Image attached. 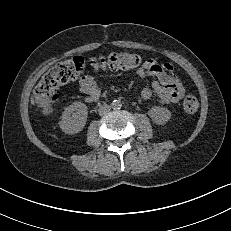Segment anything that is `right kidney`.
<instances>
[{
  "label": "right kidney",
  "mask_w": 231,
  "mask_h": 231,
  "mask_svg": "<svg viewBox=\"0 0 231 231\" xmlns=\"http://www.w3.org/2000/svg\"><path fill=\"white\" fill-rule=\"evenodd\" d=\"M87 106L81 102H74L68 106L59 122L61 130L65 134H76L82 131L87 121Z\"/></svg>",
  "instance_id": "1"
}]
</instances>
